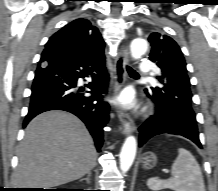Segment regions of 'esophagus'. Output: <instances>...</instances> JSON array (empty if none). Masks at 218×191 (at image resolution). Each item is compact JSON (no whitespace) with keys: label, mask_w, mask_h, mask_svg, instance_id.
I'll use <instances>...</instances> for the list:
<instances>
[{"label":"esophagus","mask_w":218,"mask_h":191,"mask_svg":"<svg viewBox=\"0 0 218 191\" xmlns=\"http://www.w3.org/2000/svg\"><path fill=\"white\" fill-rule=\"evenodd\" d=\"M129 61L128 47H123L117 55L114 62L115 85L114 92L118 94L126 83V65ZM118 118L121 122V130L123 134H129L135 130L134 122L129 114L118 109Z\"/></svg>","instance_id":"esophagus-1"}]
</instances>
